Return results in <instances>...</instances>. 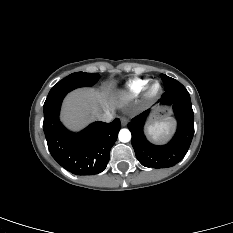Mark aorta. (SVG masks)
I'll list each match as a JSON object with an SVG mask.
<instances>
[{"label":"aorta","mask_w":233,"mask_h":233,"mask_svg":"<svg viewBox=\"0 0 233 233\" xmlns=\"http://www.w3.org/2000/svg\"><path fill=\"white\" fill-rule=\"evenodd\" d=\"M118 138L123 143L129 142L131 140V132L128 129H121Z\"/></svg>","instance_id":"1"}]
</instances>
